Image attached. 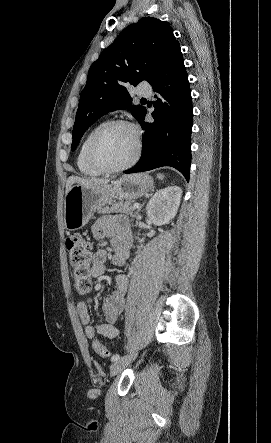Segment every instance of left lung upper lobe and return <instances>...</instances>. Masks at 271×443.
<instances>
[{"label": "left lung upper lobe", "mask_w": 271, "mask_h": 443, "mask_svg": "<svg viewBox=\"0 0 271 443\" xmlns=\"http://www.w3.org/2000/svg\"><path fill=\"white\" fill-rule=\"evenodd\" d=\"M178 46L172 28L164 21L145 17L128 26L89 69L73 127L72 150L84 132L110 111L131 107L139 121L145 108L132 106L126 86L149 79Z\"/></svg>", "instance_id": "left-lung-upper-lobe-1"}]
</instances>
